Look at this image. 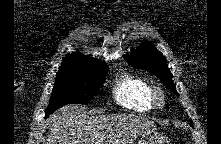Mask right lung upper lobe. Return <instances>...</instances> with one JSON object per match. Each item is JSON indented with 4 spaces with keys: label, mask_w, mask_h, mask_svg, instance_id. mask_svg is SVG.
<instances>
[{
    "label": "right lung upper lobe",
    "mask_w": 221,
    "mask_h": 144,
    "mask_svg": "<svg viewBox=\"0 0 221 144\" xmlns=\"http://www.w3.org/2000/svg\"><path fill=\"white\" fill-rule=\"evenodd\" d=\"M101 64L104 63L99 62L97 59L84 56L79 53H72L64 57L61 67H81V66H94Z\"/></svg>",
    "instance_id": "obj_1"
}]
</instances>
